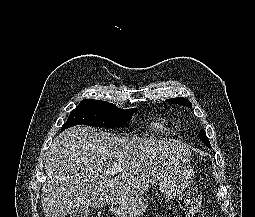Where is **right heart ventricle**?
<instances>
[{"mask_svg":"<svg viewBox=\"0 0 255 217\" xmlns=\"http://www.w3.org/2000/svg\"><path fill=\"white\" fill-rule=\"evenodd\" d=\"M165 123H167L166 121H161L160 123H157L156 125H163V124H165Z\"/></svg>","mask_w":255,"mask_h":217,"instance_id":"e07e8e85","label":"right heart ventricle"}]
</instances>
